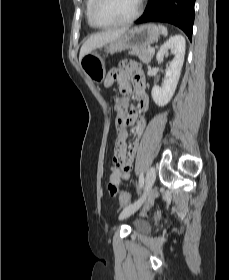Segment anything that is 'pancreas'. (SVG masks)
Masks as SVG:
<instances>
[{
  "instance_id": "cf45deb5",
  "label": "pancreas",
  "mask_w": 229,
  "mask_h": 280,
  "mask_svg": "<svg viewBox=\"0 0 229 280\" xmlns=\"http://www.w3.org/2000/svg\"><path fill=\"white\" fill-rule=\"evenodd\" d=\"M129 54L139 57V59L146 64H148L154 56V53H150L148 48L132 49Z\"/></svg>"
}]
</instances>
